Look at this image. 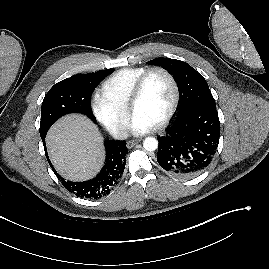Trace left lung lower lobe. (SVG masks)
<instances>
[{
  "instance_id": "left-lung-lower-lobe-1",
  "label": "left lung lower lobe",
  "mask_w": 269,
  "mask_h": 269,
  "mask_svg": "<svg viewBox=\"0 0 269 269\" xmlns=\"http://www.w3.org/2000/svg\"><path fill=\"white\" fill-rule=\"evenodd\" d=\"M220 123L216 107L190 109L158 137L157 161L169 174L192 178L203 172L217 151Z\"/></svg>"
}]
</instances>
